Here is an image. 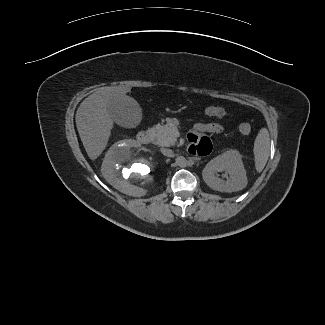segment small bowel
<instances>
[{"label": "small bowel", "mask_w": 325, "mask_h": 325, "mask_svg": "<svg viewBox=\"0 0 325 325\" xmlns=\"http://www.w3.org/2000/svg\"><path fill=\"white\" fill-rule=\"evenodd\" d=\"M194 134L190 135L188 151L195 156H205L212 150V142L206 136H201L196 133H213L218 134L221 132L219 123H197L193 128Z\"/></svg>", "instance_id": "1"}]
</instances>
